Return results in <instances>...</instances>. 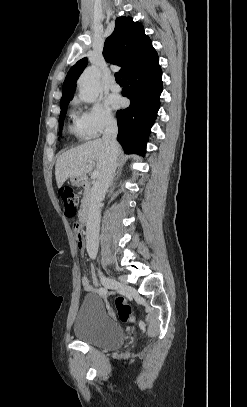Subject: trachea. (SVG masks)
<instances>
[{"mask_svg": "<svg viewBox=\"0 0 247 407\" xmlns=\"http://www.w3.org/2000/svg\"><path fill=\"white\" fill-rule=\"evenodd\" d=\"M115 79H116L117 82H122L121 74L120 73H115Z\"/></svg>", "mask_w": 247, "mask_h": 407, "instance_id": "obj_1", "label": "trachea"}]
</instances>
